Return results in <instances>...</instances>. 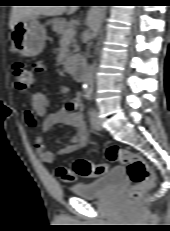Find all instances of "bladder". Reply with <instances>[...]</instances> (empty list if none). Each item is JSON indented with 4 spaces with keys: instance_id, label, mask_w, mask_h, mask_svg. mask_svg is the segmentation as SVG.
Instances as JSON below:
<instances>
[{
    "instance_id": "1",
    "label": "bladder",
    "mask_w": 170,
    "mask_h": 231,
    "mask_svg": "<svg viewBox=\"0 0 170 231\" xmlns=\"http://www.w3.org/2000/svg\"><path fill=\"white\" fill-rule=\"evenodd\" d=\"M126 179V172L123 167L112 168L108 173L97 179L80 183L71 187V192L80 198L94 199L101 198L113 191Z\"/></svg>"
}]
</instances>
